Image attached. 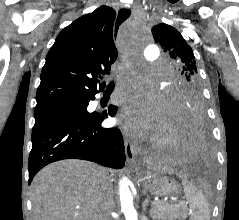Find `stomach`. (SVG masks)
Masks as SVG:
<instances>
[{"label": "stomach", "mask_w": 239, "mask_h": 220, "mask_svg": "<svg viewBox=\"0 0 239 220\" xmlns=\"http://www.w3.org/2000/svg\"><path fill=\"white\" fill-rule=\"evenodd\" d=\"M144 188L152 195L159 197H171L180 194V186L170 178H151V183H143Z\"/></svg>", "instance_id": "obj_1"}]
</instances>
